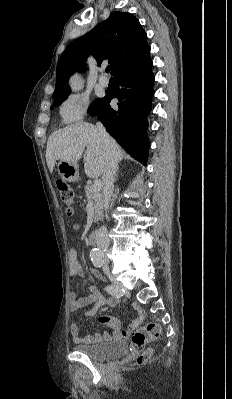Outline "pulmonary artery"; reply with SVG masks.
I'll use <instances>...</instances> for the list:
<instances>
[{
  "label": "pulmonary artery",
  "mask_w": 232,
  "mask_h": 399,
  "mask_svg": "<svg viewBox=\"0 0 232 399\" xmlns=\"http://www.w3.org/2000/svg\"><path fill=\"white\" fill-rule=\"evenodd\" d=\"M99 84H100L102 87H107L108 84H109V80H108V78L106 77V74H105V71H104V70H102V75H101V77H100V79H99Z\"/></svg>",
  "instance_id": "1"
}]
</instances>
